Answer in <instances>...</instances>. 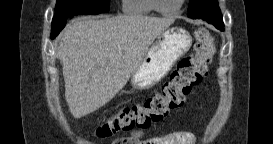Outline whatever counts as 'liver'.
I'll use <instances>...</instances> for the list:
<instances>
[{"label":"liver","instance_id":"1","mask_svg":"<svg viewBox=\"0 0 273 144\" xmlns=\"http://www.w3.org/2000/svg\"><path fill=\"white\" fill-rule=\"evenodd\" d=\"M173 22L141 15L72 20L61 34L57 55L73 117L82 118L114 98L149 46Z\"/></svg>","mask_w":273,"mask_h":144}]
</instances>
